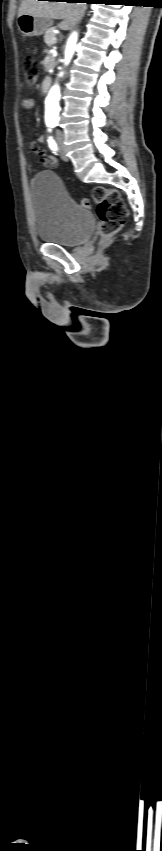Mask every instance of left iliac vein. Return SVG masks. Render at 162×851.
Segmentation results:
<instances>
[{"mask_svg": "<svg viewBox=\"0 0 162 851\" xmlns=\"http://www.w3.org/2000/svg\"><path fill=\"white\" fill-rule=\"evenodd\" d=\"M59 151H60V156H61L62 160L68 161V157H67L66 152H65L63 145L61 143L59 144Z\"/></svg>", "mask_w": 162, "mask_h": 851, "instance_id": "4c4485c4", "label": "left iliac vein"}]
</instances>
